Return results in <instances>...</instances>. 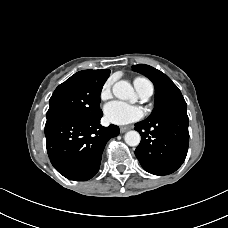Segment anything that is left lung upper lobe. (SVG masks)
Returning a JSON list of instances; mask_svg holds the SVG:
<instances>
[{
    "instance_id": "obj_1",
    "label": "left lung upper lobe",
    "mask_w": 228,
    "mask_h": 228,
    "mask_svg": "<svg viewBox=\"0 0 228 228\" xmlns=\"http://www.w3.org/2000/svg\"><path fill=\"white\" fill-rule=\"evenodd\" d=\"M132 69L148 77L155 86V108L145 121H154L173 109L187 106L181 91L167 75L145 64L133 65Z\"/></svg>"
}]
</instances>
